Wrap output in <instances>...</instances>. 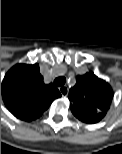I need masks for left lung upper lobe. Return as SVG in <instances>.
I'll return each instance as SVG.
<instances>
[{
	"mask_svg": "<svg viewBox=\"0 0 122 154\" xmlns=\"http://www.w3.org/2000/svg\"><path fill=\"white\" fill-rule=\"evenodd\" d=\"M113 92L107 82L93 72L77 76L69 91L70 108L75 117L85 123L99 122L108 111Z\"/></svg>",
	"mask_w": 122,
	"mask_h": 154,
	"instance_id": "left-lung-upper-lobe-1",
	"label": "left lung upper lobe"
}]
</instances>
